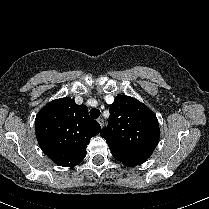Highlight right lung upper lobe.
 I'll use <instances>...</instances> for the list:
<instances>
[{"mask_svg": "<svg viewBox=\"0 0 209 209\" xmlns=\"http://www.w3.org/2000/svg\"><path fill=\"white\" fill-rule=\"evenodd\" d=\"M101 130L85 105L71 98L48 103L36 116L35 133L43 152L56 164L73 167L86 156L91 137Z\"/></svg>", "mask_w": 209, "mask_h": 209, "instance_id": "1", "label": "right lung upper lobe"}]
</instances>
